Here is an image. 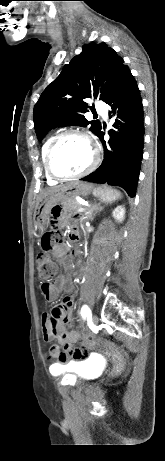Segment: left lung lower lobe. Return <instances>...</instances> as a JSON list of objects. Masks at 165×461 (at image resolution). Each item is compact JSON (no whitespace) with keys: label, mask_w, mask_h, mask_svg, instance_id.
<instances>
[{"label":"left lung lower lobe","mask_w":165,"mask_h":461,"mask_svg":"<svg viewBox=\"0 0 165 461\" xmlns=\"http://www.w3.org/2000/svg\"><path fill=\"white\" fill-rule=\"evenodd\" d=\"M105 102L120 119L113 126L118 128L119 124L122 133L110 131L109 146L103 139L104 132L97 135L103 143L104 160L96 171L81 180L121 186L134 197L143 155L144 122L141 95L129 68Z\"/></svg>","instance_id":"obj_1"}]
</instances>
